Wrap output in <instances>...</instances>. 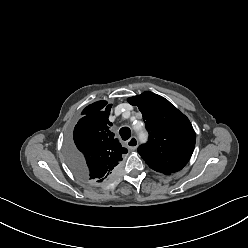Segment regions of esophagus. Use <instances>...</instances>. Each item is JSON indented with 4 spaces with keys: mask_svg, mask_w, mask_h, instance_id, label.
<instances>
[{
    "mask_svg": "<svg viewBox=\"0 0 248 248\" xmlns=\"http://www.w3.org/2000/svg\"><path fill=\"white\" fill-rule=\"evenodd\" d=\"M126 144L130 150H135L138 146V139L135 136H133L127 141Z\"/></svg>",
    "mask_w": 248,
    "mask_h": 248,
    "instance_id": "34e87169",
    "label": "esophagus"
}]
</instances>
